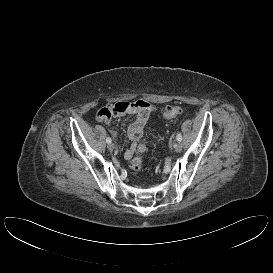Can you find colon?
<instances>
[{
    "mask_svg": "<svg viewBox=\"0 0 273 273\" xmlns=\"http://www.w3.org/2000/svg\"><path fill=\"white\" fill-rule=\"evenodd\" d=\"M183 113V109L180 106H168L163 111V117L166 119L175 118ZM145 150L144 144H139L136 148V156L130 162V167L133 170H140L142 167V157L141 154Z\"/></svg>",
    "mask_w": 273,
    "mask_h": 273,
    "instance_id": "5ec220e1",
    "label": "colon"
}]
</instances>
